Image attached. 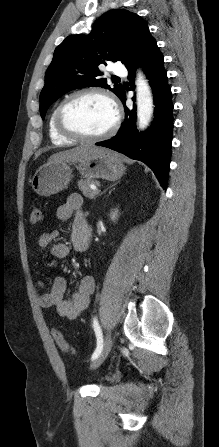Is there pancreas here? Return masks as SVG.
<instances>
[{"mask_svg": "<svg viewBox=\"0 0 219 447\" xmlns=\"http://www.w3.org/2000/svg\"><path fill=\"white\" fill-rule=\"evenodd\" d=\"M91 184H97V182H94L89 179H85V180L81 179L78 181L79 190L83 193V195L87 198L93 199L97 195V193H95L90 188Z\"/></svg>", "mask_w": 219, "mask_h": 447, "instance_id": "obj_1", "label": "pancreas"}]
</instances>
